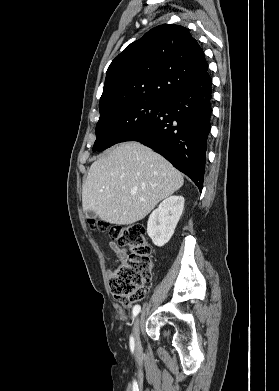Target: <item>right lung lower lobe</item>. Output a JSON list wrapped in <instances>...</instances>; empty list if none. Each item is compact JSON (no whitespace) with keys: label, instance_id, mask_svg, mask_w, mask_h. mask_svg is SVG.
Returning a JSON list of instances; mask_svg holds the SVG:
<instances>
[{"label":"right lung lower lobe","instance_id":"1","mask_svg":"<svg viewBox=\"0 0 279 391\" xmlns=\"http://www.w3.org/2000/svg\"><path fill=\"white\" fill-rule=\"evenodd\" d=\"M211 84L206 73L167 99L152 121L133 129L120 142L133 140L152 148L202 190L212 112Z\"/></svg>","mask_w":279,"mask_h":391}]
</instances>
